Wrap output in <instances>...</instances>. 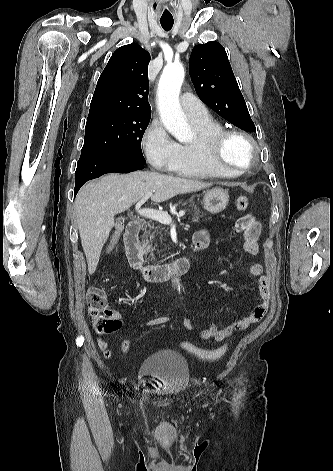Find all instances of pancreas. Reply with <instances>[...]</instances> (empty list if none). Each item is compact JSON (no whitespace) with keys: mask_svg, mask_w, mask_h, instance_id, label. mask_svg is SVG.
<instances>
[{"mask_svg":"<svg viewBox=\"0 0 333 471\" xmlns=\"http://www.w3.org/2000/svg\"><path fill=\"white\" fill-rule=\"evenodd\" d=\"M192 208L193 213H192V220L194 222H199V218L201 217L200 209L197 208L195 203L193 202L192 199H189L188 201L182 203V205H187ZM144 233L142 235V248L146 253H150L149 258L151 257V260H155V257L153 255V251H155V248L153 247V242L156 240V236L158 234H161V231L163 228L160 225L155 226V224L152 221H149L147 225L144 227ZM147 258V259H149Z\"/></svg>","mask_w":333,"mask_h":471,"instance_id":"pancreas-1","label":"pancreas"}]
</instances>
